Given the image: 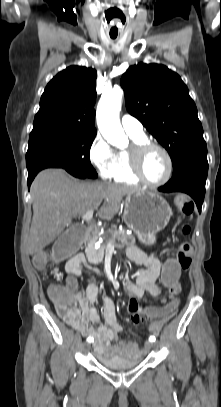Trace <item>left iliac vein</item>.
<instances>
[{
  "instance_id": "4c4485c4",
  "label": "left iliac vein",
  "mask_w": 221,
  "mask_h": 407,
  "mask_svg": "<svg viewBox=\"0 0 221 407\" xmlns=\"http://www.w3.org/2000/svg\"><path fill=\"white\" fill-rule=\"evenodd\" d=\"M152 347H153L154 349H158V347H159L158 342H156V341L152 342Z\"/></svg>"
}]
</instances>
